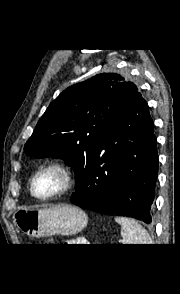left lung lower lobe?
I'll return each instance as SVG.
<instances>
[{
	"label": "left lung lower lobe",
	"instance_id": "left-lung-lower-lobe-1",
	"mask_svg": "<svg viewBox=\"0 0 180 294\" xmlns=\"http://www.w3.org/2000/svg\"><path fill=\"white\" fill-rule=\"evenodd\" d=\"M158 173L156 137L140 93L97 148L81 187L70 201L108 215L151 223Z\"/></svg>",
	"mask_w": 180,
	"mask_h": 294
}]
</instances>
